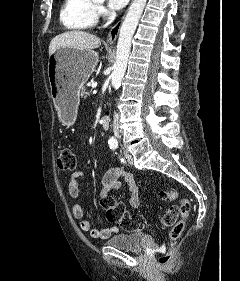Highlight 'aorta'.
Returning <instances> with one entry per match:
<instances>
[{"mask_svg":"<svg viewBox=\"0 0 240 281\" xmlns=\"http://www.w3.org/2000/svg\"><path fill=\"white\" fill-rule=\"evenodd\" d=\"M146 2L147 0H133L120 28L116 60L111 74V84L115 89H118L121 86V82L127 68L131 49V40L145 8ZM113 139V137L110 138V140Z\"/></svg>","mask_w":240,"mask_h":281,"instance_id":"obj_1","label":"aorta"}]
</instances>
